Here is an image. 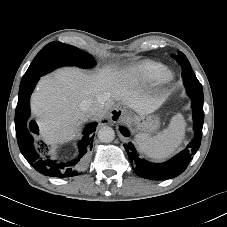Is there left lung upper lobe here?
Returning <instances> with one entry per match:
<instances>
[{
	"mask_svg": "<svg viewBox=\"0 0 227 227\" xmlns=\"http://www.w3.org/2000/svg\"><path fill=\"white\" fill-rule=\"evenodd\" d=\"M171 56L178 62V64L182 68V78L187 94H203L202 85L196 78L186 56L182 52H178V55Z\"/></svg>",
	"mask_w": 227,
	"mask_h": 227,
	"instance_id": "1",
	"label": "left lung upper lobe"
}]
</instances>
